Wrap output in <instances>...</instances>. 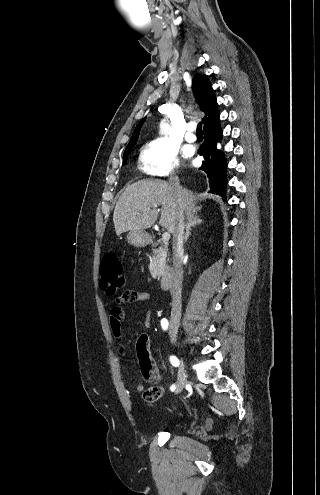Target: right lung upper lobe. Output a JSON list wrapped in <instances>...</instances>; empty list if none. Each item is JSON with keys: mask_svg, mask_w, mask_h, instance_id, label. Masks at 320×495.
I'll return each mask as SVG.
<instances>
[{"mask_svg": "<svg viewBox=\"0 0 320 495\" xmlns=\"http://www.w3.org/2000/svg\"><path fill=\"white\" fill-rule=\"evenodd\" d=\"M192 89L200 109L205 113L202 119L204 129L220 121L218 104L212 84L206 75L196 74L192 79ZM146 118L142 119L136 126L132 137L125 150L133 148L139 137L140 129Z\"/></svg>", "mask_w": 320, "mask_h": 495, "instance_id": "obj_1", "label": "right lung upper lobe"}]
</instances>
